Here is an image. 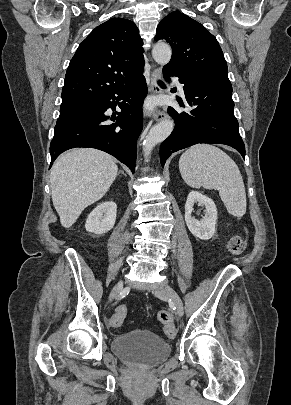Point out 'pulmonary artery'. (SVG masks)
I'll use <instances>...</instances> for the list:
<instances>
[{"label": "pulmonary artery", "mask_w": 291, "mask_h": 405, "mask_svg": "<svg viewBox=\"0 0 291 405\" xmlns=\"http://www.w3.org/2000/svg\"><path fill=\"white\" fill-rule=\"evenodd\" d=\"M176 85L178 86L179 91L183 94V85L178 81L177 78H174Z\"/></svg>", "instance_id": "pulmonary-artery-1"}]
</instances>
